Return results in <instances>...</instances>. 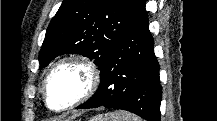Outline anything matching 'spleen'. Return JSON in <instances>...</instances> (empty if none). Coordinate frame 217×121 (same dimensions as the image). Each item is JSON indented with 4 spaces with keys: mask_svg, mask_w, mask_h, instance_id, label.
Here are the masks:
<instances>
[{
    "mask_svg": "<svg viewBox=\"0 0 217 121\" xmlns=\"http://www.w3.org/2000/svg\"><path fill=\"white\" fill-rule=\"evenodd\" d=\"M91 121H138V118L125 111H115L93 117Z\"/></svg>",
    "mask_w": 217,
    "mask_h": 121,
    "instance_id": "spleen-1",
    "label": "spleen"
}]
</instances>
